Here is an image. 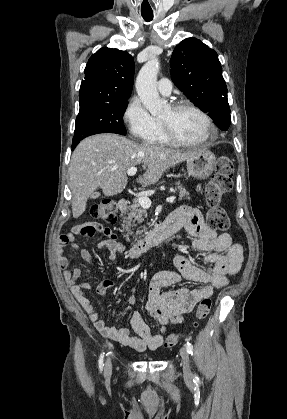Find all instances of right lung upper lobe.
I'll return each mask as SVG.
<instances>
[{"label":"right lung upper lobe","mask_w":287,"mask_h":419,"mask_svg":"<svg viewBox=\"0 0 287 419\" xmlns=\"http://www.w3.org/2000/svg\"><path fill=\"white\" fill-rule=\"evenodd\" d=\"M134 60L126 51L101 48L85 68L79 92L80 110L105 103L128 101L134 76Z\"/></svg>","instance_id":"obj_1"}]
</instances>
